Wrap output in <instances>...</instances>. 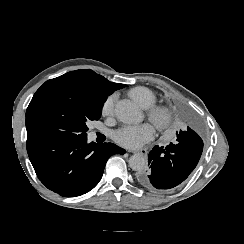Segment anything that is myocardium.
<instances>
[{"label":"myocardium","instance_id":"1","mask_svg":"<svg viewBox=\"0 0 244 244\" xmlns=\"http://www.w3.org/2000/svg\"><path fill=\"white\" fill-rule=\"evenodd\" d=\"M146 116L157 128L163 129L169 124V118L167 114L158 107L149 108L146 112Z\"/></svg>","mask_w":244,"mask_h":244}]
</instances>
